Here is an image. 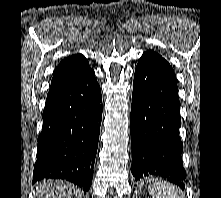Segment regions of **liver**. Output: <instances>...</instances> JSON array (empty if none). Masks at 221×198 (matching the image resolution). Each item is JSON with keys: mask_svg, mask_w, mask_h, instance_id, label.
I'll use <instances>...</instances> for the list:
<instances>
[{"mask_svg": "<svg viewBox=\"0 0 221 198\" xmlns=\"http://www.w3.org/2000/svg\"><path fill=\"white\" fill-rule=\"evenodd\" d=\"M73 186L67 181L43 180L36 184L34 198H72Z\"/></svg>", "mask_w": 221, "mask_h": 198, "instance_id": "1", "label": "liver"}]
</instances>
